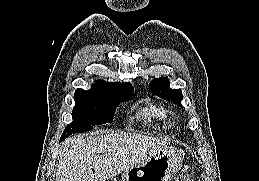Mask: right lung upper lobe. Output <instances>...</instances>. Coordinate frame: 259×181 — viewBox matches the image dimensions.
I'll return each instance as SVG.
<instances>
[{
	"mask_svg": "<svg viewBox=\"0 0 259 181\" xmlns=\"http://www.w3.org/2000/svg\"><path fill=\"white\" fill-rule=\"evenodd\" d=\"M133 87L130 83H110L103 80H97L90 90L77 89L76 95H92L98 97L122 98L130 96Z\"/></svg>",
	"mask_w": 259,
	"mask_h": 181,
	"instance_id": "right-lung-upper-lobe-1",
	"label": "right lung upper lobe"
}]
</instances>
